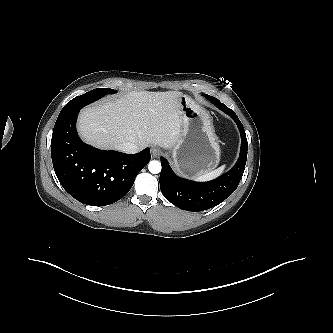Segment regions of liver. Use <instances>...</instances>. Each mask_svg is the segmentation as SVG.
Instances as JSON below:
<instances>
[{
    "mask_svg": "<svg viewBox=\"0 0 333 333\" xmlns=\"http://www.w3.org/2000/svg\"><path fill=\"white\" fill-rule=\"evenodd\" d=\"M177 91H133L114 100L85 108L78 131L87 143L120 150L125 142L145 148L149 144L172 148L182 126Z\"/></svg>",
    "mask_w": 333,
    "mask_h": 333,
    "instance_id": "6515ba94",
    "label": "liver"
}]
</instances>
